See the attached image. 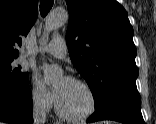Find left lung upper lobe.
Segmentation results:
<instances>
[{
    "instance_id": "obj_1",
    "label": "left lung upper lobe",
    "mask_w": 156,
    "mask_h": 124,
    "mask_svg": "<svg viewBox=\"0 0 156 124\" xmlns=\"http://www.w3.org/2000/svg\"><path fill=\"white\" fill-rule=\"evenodd\" d=\"M70 58L88 83L95 109L115 100L141 105L133 28L116 0H66Z\"/></svg>"
}]
</instances>
